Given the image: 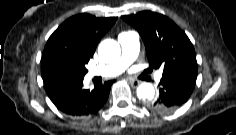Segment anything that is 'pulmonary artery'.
<instances>
[{
	"mask_svg": "<svg viewBox=\"0 0 236 135\" xmlns=\"http://www.w3.org/2000/svg\"><path fill=\"white\" fill-rule=\"evenodd\" d=\"M122 48V54L116 61L103 66L94 67L89 70L90 76H117L123 73L126 68L136 59L139 52V36L135 32H123L118 36ZM162 73L156 75V80L160 81Z\"/></svg>",
	"mask_w": 236,
	"mask_h": 135,
	"instance_id": "e3ab8cb5",
	"label": "pulmonary artery"
}]
</instances>
